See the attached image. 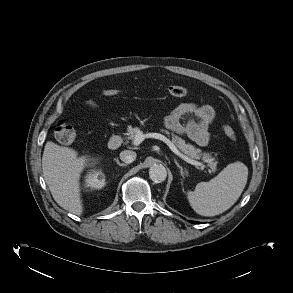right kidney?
Instances as JSON below:
<instances>
[{
  "mask_svg": "<svg viewBox=\"0 0 293 293\" xmlns=\"http://www.w3.org/2000/svg\"><path fill=\"white\" fill-rule=\"evenodd\" d=\"M105 176L101 171H94L86 178V186L91 189H101L105 186Z\"/></svg>",
  "mask_w": 293,
  "mask_h": 293,
  "instance_id": "obj_1",
  "label": "right kidney"
}]
</instances>
